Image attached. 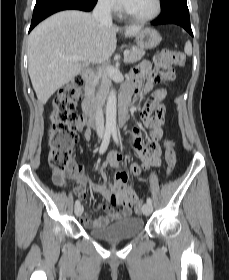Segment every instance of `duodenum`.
Wrapping results in <instances>:
<instances>
[{
    "label": "duodenum",
    "instance_id": "410a0bca",
    "mask_svg": "<svg viewBox=\"0 0 229 280\" xmlns=\"http://www.w3.org/2000/svg\"><path fill=\"white\" fill-rule=\"evenodd\" d=\"M86 83L84 98L82 101V110L85 120L89 126L95 125L98 105L94 94L95 75L92 71H86L82 74ZM130 95L125 91L122 92L119 101V125L124 126L127 120Z\"/></svg>",
    "mask_w": 229,
    "mask_h": 280
}]
</instances>
